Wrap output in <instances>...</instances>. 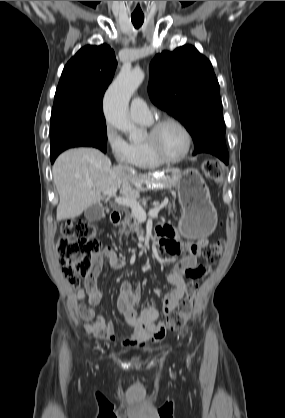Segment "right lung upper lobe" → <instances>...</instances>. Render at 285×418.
<instances>
[{
    "instance_id": "right-lung-upper-lobe-1",
    "label": "right lung upper lobe",
    "mask_w": 285,
    "mask_h": 418,
    "mask_svg": "<svg viewBox=\"0 0 285 418\" xmlns=\"http://www.w3.org/2000/svg\"><path fill=\"white\" fill-rule=\"evenodd\" d=\"M116 66L115 53L108 45L81 48L63 69L54 105L102 108V98L113 79Z\"/></svg>"
}]
</instances>
